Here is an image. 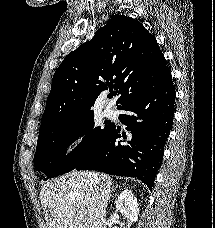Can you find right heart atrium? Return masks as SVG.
I'll return each instance as SVG.
<instances>
[{"label":"right heart atrium","instance_id":"right-heart-atrium-1","mask_svg":"<svg viewBox=\"0 0 215 228\" xmlns=\"http://www.w3.org/2000/svg\"><path fill=\"white\" fill-rule=\"evenodd\" d=\"M90 132L85 129H76L72 133V150L79 152L89 141Z\"/></svg>","mask_w":215,"mask_h":228}]
</instances>
